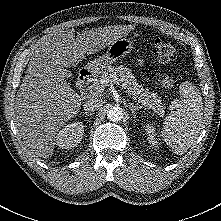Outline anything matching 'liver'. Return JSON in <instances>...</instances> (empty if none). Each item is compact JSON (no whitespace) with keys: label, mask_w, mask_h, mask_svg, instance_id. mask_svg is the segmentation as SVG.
I'll return each instance as SVG.
<instances>
[{"label":"liver","mask_w":221,"mask_h":221,"mask_svg":"<svg viewBox=\"0 0 221 221\" xmlns=\"http://www.w3.org/2000/svg\"><path fill=\"white\" fill-rule=\"evenodd\" d=\"M134 29L132 25L99 27L75 38V30L47 36L34 49L16 95L15 120L32 154L49 158L56 136L80 110L81 96L65 80L62 69L77 65Z\"/></svg>","instance_id":"6515ba94"}]
</instances>
